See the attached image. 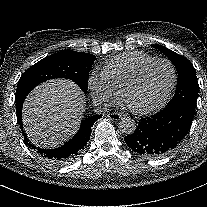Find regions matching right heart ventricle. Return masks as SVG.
<instances>
[{
  "label": "right heart ventricle",
  "mask_w": 207,
  "mask_h": 207,
  "mask_svg": "<svg viewBox=\"0 0 207 207\" xmlns=\"http://www.w3.org/2000/svg\"><path fill=\"white\" fill-rule=\"evenodd\" d=\"M155 57L143 52H130L122 54L109 63L103 69L102 75L111 87L120 95L126 83L146 63Z\"/></svg>",
  "instance_id": "right-heart-ventricle-1"
}]
</instances>
